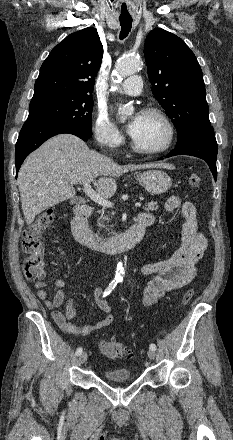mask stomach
I'll return each instance as SVG.
<instances>
[{"mask_svg": "<svg viewBox=\"0 0 233 440\" xmlns=\"http://www.w3.org/2000/svg\"><path fill=\"white\" fill-rule=\"evenodd\" d=\"M136 179L152 195L163 194L172 185L170 176L161 170H148L136 176Z\"/></svg>", "mask_w": 233, "mask_h": 440, "instance_id": "stomach-1", "label": "stomach"}]
</instances>
